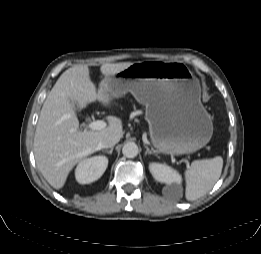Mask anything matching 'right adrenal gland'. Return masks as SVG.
I'll list each match as a JSON object with an SVG mask.
<instances>
[{
	"mask_svg": "<svg viewBox=\"0 0 261 254\" xmlns=\"http://www.w3.org/2000/svg\"><path fill=\"white\" fill-rule=\"evenodd\" d=\"M113 147L111 148V149H109V150H103V152L104 153H107V154H112V152H113Z\"/></svg>",
	"mask_w": 261,
	"mask_h": 254,
	"instance_id": "right-adrenal-gland-1",
	"label": "right adrenal gland"
}]
</instances>
